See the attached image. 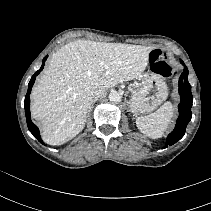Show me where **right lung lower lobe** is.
<instances>
[{"label": "right lung lower lobe", "instance_id": "1", "mask_svg": "<svg viewBox=\"0 0 211 211\" xmlns=\"http://www.w3.org/2000/svg\"><path fill=\"white\" fill-rule=\"evenodd\" d=\"M46 58H47V56L43 59V64H42L41 68L38 71H36V73L32 76V78H31V80H30V82L28 84V91H27V94H26V97H25V101H24V107H25V114H26V121H27L28 129L33 134V136L36 137L37 140L40 143H42V144H43V142H42L41 137H40L39 129L31 121V117H30V98H29V95L31 93V89H32V86H33L34 81L36 79V76L41 72V70L44 67V63H45Z\"/></svg>", "mask_w": 211, "mask_h": 211}]
</instances>
